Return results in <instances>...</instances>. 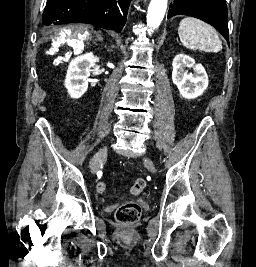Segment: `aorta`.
<instances>
[{
	"instance_id": "762f6f07",
	"label": "aorta",
	"mask_w": 256,
	"mask_h": 267,
	"mask_svg": "<svg viewBox=\"0 0 256 267\" xmlns=\"http://www.w3.org/2000/svg\"><path fill=\"white\" fill-rule=\"evenodd\" d=\"M168 0H151L147 10V26L149 34L159 28L167 10Z\"/></svg>"
}]
</instances>
